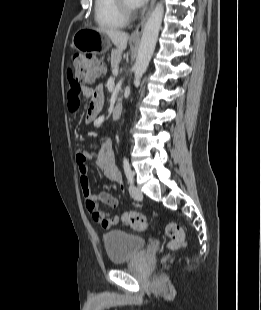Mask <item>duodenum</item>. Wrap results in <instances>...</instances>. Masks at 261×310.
I'll return each instance as SVG.
<instances>
[{"mask_svg":"<svg viewBox=\"0 0 261 310\" xmlns=\"http://www.w3.org/2000/svg\"><path fill=\"white\" fill-rule=\"evenodd\" d=\"M122 104L121 103H116L114 108H113V111H112V117L114 119H118L120 116H121V113H122Z\"/></svg>","mask_w":261,"mask_h":310,"instance_id":"duodenum-1","label":"duodenum"}]
</instances>
